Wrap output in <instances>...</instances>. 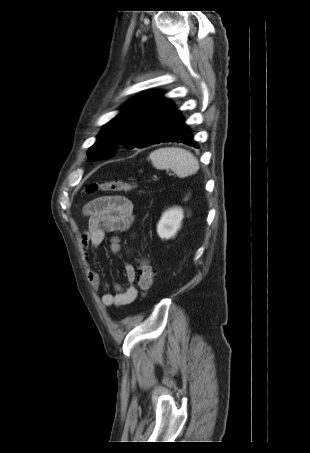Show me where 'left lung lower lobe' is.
I'll list each match as a JSON object with an SVG mask.
<instances>
[{
  "mask_svg": "<svg viewBox=\"0 0 310 453\" xmlns=\"http://www.w3.org/2000/svg\"><path fill=\"white\" fill-rule=\"evenodd\" d=\"M161 142H182L199 148L198 144L193 140L191 130L185 125L184 118L179 111L175 113L172 123L165 136L155 144Z\"/></svg>",
  "mask_w": 310,
  "mask_h": 453,
  "instance_id": "obj_1",
  "label": "left lung lower lobe"
}]
</instances>
